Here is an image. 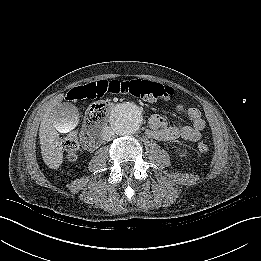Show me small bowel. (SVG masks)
Here are the masks:
<instances>
[{"label":"small bowel","instance_id":"small-bowel-1","mask_svg":"<svg viewBox=\"0 0 261 261\" xmlns=\"http://www.w3.org/2000/svg\"><path fill=\"white\" fill-rule=\"evenodd\" d=\"M176 110L187 116L190 120V125L177 124L170 126L161 115H153L149 119L147 135L150 138L162 141L176 139L190 142L198 141L206 125L200 110L195 107L187 108L182 104H177Z\"/></svg>","mask_w":261,"mask_h":261}]
</instances>
